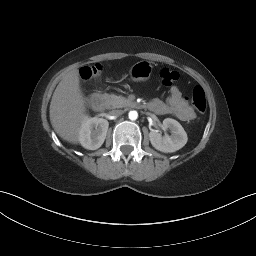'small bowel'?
<instances>
[{
    "label": "small bowel",
    "instance_id": "small-bowel-1",
    "mask_svg": "<svg viewBox=\"0 0 256 256\" xmlns=\"http://www.w3.org/2000/svg\"><path fill=\"white\" fill-rule=\"evenodd\" d=\"M147 106L151 111L159 115L172 114L181 121H191L195 118V112L187 104L177 86L171 87L166 103L159 99H154Z\"/></svg>",
    "mask_w": 256,
    "mask_h": 256
}]
</instances>
